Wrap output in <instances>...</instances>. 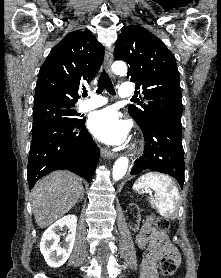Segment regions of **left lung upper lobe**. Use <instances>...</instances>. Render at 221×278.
I'll list each match as a JSON object with an SVG mask.
<instances>
[{
    "label": "left lung upper lobe",
    "mask_w": 221,
    "mask_h": 278,
    "mask_svg": "<svg viewBox=\"0 0 221 278\" xmlns=\"http://www.w3.org/2000/svg\"><path fill=\"white\" fill-rule=\"evenodd\" d=\"M115 58L129 64L128 77L144 94L140 107L128 111L140 128L159 117L181 120L179 72L174 55L147 29L131 25L122 29L115 43Z\"/></svg>",
    "instance_id": "obj_1"
}]
</instances>
